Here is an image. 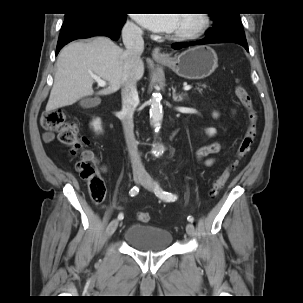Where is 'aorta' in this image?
I'll list each match as a JSON object with an SVG mask.
<instances>
[{"instance_id": "obj_1", "label": "aorta", "mask_w": 303, "mask_h": 303, "mask_svg": "<svg viewBox=\"0 0 303 303\" xmlns=\"http://www.w3.org/2000/svg\"><path fill=\"white\" fill-rule=\"evenodd\" d=\"M160 97L154 95L151 99L150 118L153 126L157 129L160 128L163 119L162 105L160 103ZM164 152L162 145H156L153 149L154 156H160Z\"/></svg>"}]
</instances>
